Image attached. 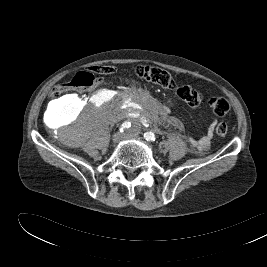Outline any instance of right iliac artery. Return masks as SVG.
Masks as SVG:
<instances>
[{
	"label": "right iliac artery",
	"mask_w": 267,
	"mask_h": 267,
	"mask_svg": "<svg viewBox=\"0 0 267 267\" xmlns=\"http://www.w3.org/2000/svg\"><path fill=\"white\" fill-rule=\"evenodd\" d=\"M131 127V123L130 122H124L122 125H121V128H120V132H123L124 130L128 129Z\"/></svg>",
	"instance_id": "1"
}]
</instances>
